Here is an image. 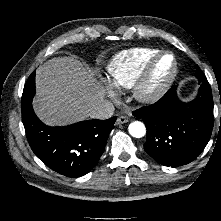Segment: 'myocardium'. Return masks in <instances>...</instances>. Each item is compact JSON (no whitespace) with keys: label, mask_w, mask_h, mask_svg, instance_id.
<instances>
[{"label":"myocardium","mask_w":221,"mask_h":221,"mask_svg":"<svg viewBox=\"0 0 221 221\" xmlns=\"http://www.w3.org/2000/svg\"><path fill=\"white\" fill-rule=\"evenodd\" d=\"M170 56L173 61V66L168 77L158 85H152V78L159 61ZM178 61L176 56L170 51H160L154 55L144 67L142 73L138 77L133 86V96L141 103H153L163 97L173 85L178 75Z\"/></svg>","instance_id":"1"}]
</instances>
